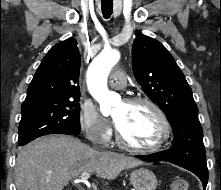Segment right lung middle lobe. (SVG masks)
<instances>
[{"mask_svg":"<svg viewBox=\"0 0 221 190\" xmlns=\"http://www.w3.org/2000/svg\"><path fill=\"white\" fill-rule=\"evenodd\" d=\"M80 98L42 101L22 105L19 145L48 134L78 135L80 133Z\"/></svg>","mask_w":221,"mask_h":190,"instance_id":"1","label":"right lung middle lobe"}]
</instances>
